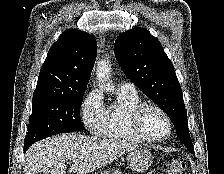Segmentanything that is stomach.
<instances>
[{"label": "stomach", "mask_w": 224, "mask_h": 174, "mask_svg": "<svg viewBox=\"0 0 224 174\" xmlns=\"http://www.w3.org/2000/svg\"><path fill=\"white\" fill-rule=\"evenodd\" d=\"M126 160L130 169L143 172L147 170L153 162V156L147 149L137 148L128 152Z\"/></svg>", "instance_id": "obj_1"}]
</instances>
